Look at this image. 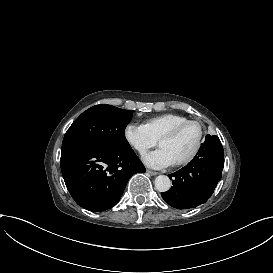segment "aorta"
I'll return each mask as SVG.
<instances>
[{
    "instance_id": "obj_1",
    "label": "aorta",
    "mask_w": 273,
    "mask_h": 273,
    "mask_svg": "<svg viewBox=\"0 0 273 273\" xmlns=\"http://www.w3.org/2000/svg\"><path fill=\"white\" fill-rule=\"evenodd\" d=\"M171 188V180L166 175H159L155 179V189L159 192H166Z\"/></svg>"
}]
</instances>
